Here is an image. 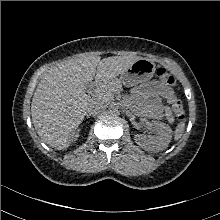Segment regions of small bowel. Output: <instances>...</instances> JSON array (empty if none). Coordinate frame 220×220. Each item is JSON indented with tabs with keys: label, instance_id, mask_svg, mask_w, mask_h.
I'll use <instances>...</instances> for the list:
<instances>
[{
	"label": "small bowel",
	"instance_id": "1",
	"mask_svg": "<svg viewBox=\"0 0 220 220\" xmlns=\"http://www.w3.org/2000/svg\"><path fill=\"white\" fill-rule=\"evenodd\" d=\"M139 92L144 96L146 101L154 108L156 113H160V98H167V96L172 92V90L165 87L162 83L158 81H153L142 86L139 89Z\"/></svg>",
	"mask_w": 220,
	"mask_h": 220
}]
</instances>
